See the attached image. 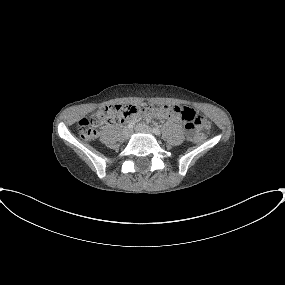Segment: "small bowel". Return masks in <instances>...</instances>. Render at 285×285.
I'll list each match as a JSON object with an SVG mask.
<instances>
[{"instance_id":"c3829d8e","label":"small bowel","mask_w":285,"mask_h":285,"mask_svg":"<svg viewBox=\"0 0 285 285\" xmlns=\"http://www.w3.org/2000/svg\"><path fill=\"white\" fill-rule=\"evenodd\" d=\"M180 109L176 112H166V113H159L157 114V117L159 118H169L173 121H176V122H184L183 120V108L179 107ZM190 111L193 112L192 109H188ZM131 121H134V120H131Z\"/></svg>"}]
</instances>
